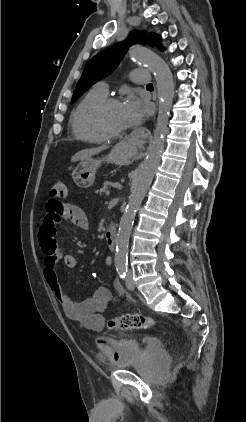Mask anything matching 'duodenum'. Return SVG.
<instances>
[{
  "instance_id": "410a0bca",
  "label": "duodenum",
  "mask_w": 246,
  "mask_h": 422,
  "mask_svg": "<svg viewBox=\"0 0 246 422\" xmlns=\"http://www.w3.org/2000/svg\"><path fill=\"white\" fill-rule=\"evenodd\" d=\"M105 241L108 248L114 251L116 248V243H117V229L115 226L111 225L107 228V231L105 234Z\"/></svg>"
}]
</instances>
